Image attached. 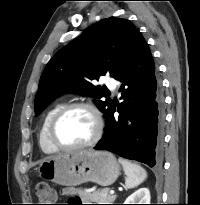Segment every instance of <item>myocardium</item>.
Listing matches in <instances>:
<instances>
[{"instance_id": "f54148a6", "label": "myocardium", "mask_w": 200, "mask_h": 205, "mask_svg": "<svg viewBox=\"0 0 200 205\" xmlns=\"http://www.w3.org/2000/svg\"><path fill=\"white\" fill-rule=\"evenodd\" d=\"M73 109H85L90 112V114L93 117L94 124H95V130L93 136L86 142L78 144V145H73V146H65L60 144L55 136V129L56 126L59 122V120L70 110ZM104 132V120L102 117V114L100 110L92 103L90 102H85V101H77V102H72L63 105L53 116L49 129H48V137L51 142V144L60 151H75V150H81L85 148H89L97 144L100 139L103 136Z\"/></svg>"}]
</instances>
